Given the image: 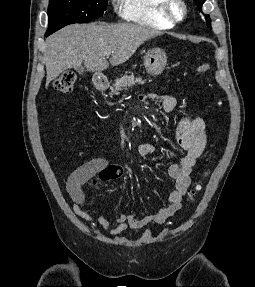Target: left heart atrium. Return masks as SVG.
Wrapping results in <instances>:
<instances>
[{
    "label": "left heart atrium",
    "mask_w": 255,
    "mask_h": 287,
    "mask_svg": "<svg viewBox=\"0 0 255 287\" xmlns=\"http://www.w3.org/2000/svg\"><path fill=\"white\" fill-rule=\"evenodd\" d=\"M120 33H139V32H120ZM117 39H138V38H117ZM123 48H134V47H123Z\"/></svg>",
    "instance_id": "39dd6f15"
}]
</instances>
